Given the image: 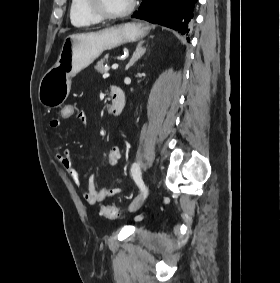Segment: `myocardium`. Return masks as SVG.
<instances>
[{"label":"myocardium","mask_w":280,"mask_h":283,"mask_svg":"<svg viewBox=\"0 0 280 283\" xmlns=\"http://www.w3.org/2000/svg\"><path fill=\"white\" fill-rule=\"evenodd\" d=\"M88 9L101 20H117L128 16L135 8V0H131L127 9L119 13H109L102 5L101 0H86Z\"/></svg>","instance_id":"1"}]
</instances>
